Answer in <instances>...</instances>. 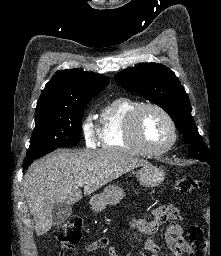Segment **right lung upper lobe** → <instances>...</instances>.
I'll list each match as a JSON object with an SVG mask.
<instances>
[{
  "label": "right lung upper lobe",
  "mask_w": 221,
  "mask_h": 256,
  "mask_svg": "<svg viewBox=\"0 0 221 256\" xmlns=\"http://www.w3.org/2000/svg\"><path fill=\"white\" fill-rule=\"evenodd\" d=\"M109 81L104 75L80 69L59 70L46 84L35 112L76 107L82 99H92Z\"/></svg>",
  "instance_id": "cb5924a9"
}]
</instances>
